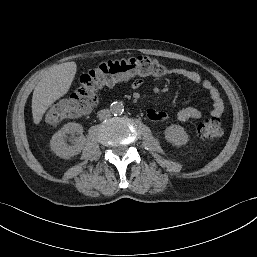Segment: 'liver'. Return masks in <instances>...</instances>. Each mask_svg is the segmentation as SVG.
<instances>
[{
    "instance_id": "liver-1",
    "label": "liver",
    "mask_w": 257,
    "mask_h": 257,
    "mask_svg": "<svg viewBox=\"0 0 257 257\" xmlns=\"http://www.w3.org/2000/svg\"><path fill=\"white\" fill-rule=\"evenodd\" d=\"M77 70L75 62L55 65L42 77L33 91L32 116L36 125L47 109L70 89Z\"/></svg>"
}]
</instances>
